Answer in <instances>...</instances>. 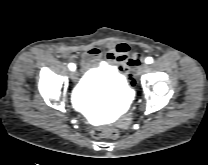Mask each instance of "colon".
Returning <instances> with one entry per match:
<instances>
[{"instance_id": "1", "label": "colon", "mask_w": 208, "mask_h": 165, "mask_svg": "<svg viewBox=\"0 0 208 165\" xmlns=\"http://www.w3.org/2000/svg\"><path fill=\"white\" fill-rule=\"evenodd\" d=\"M125 77L129 80L130 86L132 88H135L137 86V80L134 78L131 72H127L125 74ZM92 135L96 139H101V138L114 139L119 136V130L114 127L100 128V129L94 130L92 132Z\"/></svg>"}]
</instances>
